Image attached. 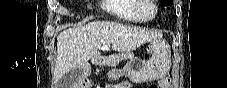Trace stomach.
<instances>
[{"label": "stomach", "mask_w": 227, "mask_h": 88, "mask_svg": "<svg viewBox=\"0 0 227 88\" xmlns=\"http://www.w3.org/2000/svg\"><path fill=\"white\" fill-rule=\"evenodd\" d=\"M149 50L151 58L146 63L136 66L130 63L123 70L115 68L117 62L113 59L102 60L100 63H107L112 66L111 76L114 79L119 78L122 74L128 75L135 83H143L164 77L170 69L171 50L169 44L161 38L150 41Z\"/></svg>", "instance_id": "stomach-1"}]
</instances>
